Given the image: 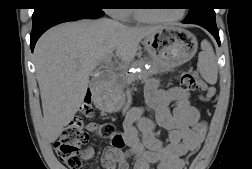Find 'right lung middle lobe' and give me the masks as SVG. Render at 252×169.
<instances>
[{"label": "right lung middle lobe", "mask_w": 252, "mask_h": 169, "mask_svg": "<svg viewBox=\"0 0 252 169\" xmlns=\"http://www.w3.org/2000/svg\"><path fill=\"white\" fill-rule=\"evenodd\" d=\"M102 0H75L76 3L88 6L93 9L101 10L102 9ZM49 0H38L35 10L42 9L48 4Z\"/></svg>", "instance_id": "1"}]
</instances>
